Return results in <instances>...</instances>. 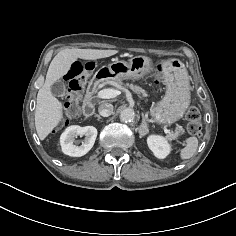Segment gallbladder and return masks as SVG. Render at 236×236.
<instances>
[{"instance_id":"obj_1","label":"gallbladder","mask_w":236,"mask_h":236,"mask_svg":"<svg viewBox=\"0 0 236 236\" xmlns=\"http://www.w3.org/2000/svg\"><path fill=\"white\" fill-rule=\"evenodd\" d=\"M50 90L54 96L62 97L66 92L65 84L61 80H58L51 85Z\"/></svg>"}]
</instances>
